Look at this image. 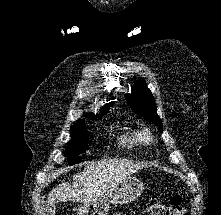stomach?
<instances>
[{
  "instance_id": "stomach-1",
  "label": "stomach",
  "mask_w": 221,
  "mask_h": 215,
  "mask_svg": "<svg viewBox=\"0 0 221 215\" xmlns=\"http://www.w3.org/2000/svg\"><path fill=\"white\" fill-rule=\"evenodd\" d=\"M144 190L143 183L136 177H128L122 180L103 199L83 204L76 208L77 215H107L111 204H127L136 200Z\"/></svg>"
}]
</instances>
